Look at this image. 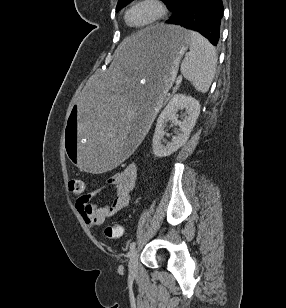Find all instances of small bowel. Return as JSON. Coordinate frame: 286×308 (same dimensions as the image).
I'll return each instance as SVG.
<instances>
[{
    "instance_id": "1",
    "label": "small bowel",
    "mask_w": 286,
    "mask_h": 308,
    "mask_svg": "<svg viewBox=\"0 0 286 308\" xmlns=\"http://www.w3.org/2000/svg\"><path fill=\"white\" fill-rule=\"evenodd\" d=\"M137 177L138 165L130 163L123 170L109 177L101 187L92 192L85 191L84 183L80 192H71L74 205L86 225L89 227L101 226L108 219L125 209L129 204L130 193ZM108 187L116 189V195L112 202L105 206L94 205L91 202L92 198Z\"/></svg>"
}]
</instances>
